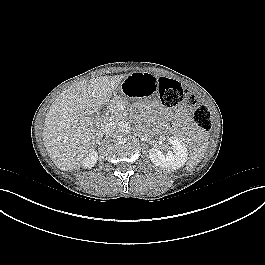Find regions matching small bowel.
I'll return each instance as SVG.
<instances>
[{"label": "small bowel", "instance_id": "c3829d8e", "mask_svg": "<svg viewBox=\"0 0 265 265\" xmlns=\"http://www.w3.org/2000/svg\"><path fill=\"white\" fill-rule=\"evenodd\" d=\"M175 115L182 118H186L189 115V110L188 108L181 106L175 111Z\"/></svg>", "mask_w": 265, "mask_h": 265}]
</instances>
